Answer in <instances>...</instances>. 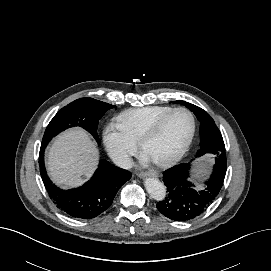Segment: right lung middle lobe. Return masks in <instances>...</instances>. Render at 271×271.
<instances>
[{
    "label": "right lung middle lobe",
    "instance_id": "1",
    "mask_svg": "<svg viewBox=\"0 0 271 271\" xmlns=\"http://www.w3.org/2000/svg\"><path fill=\"white\" fill-rule=\"evenodd\" d=\"M114 105L95 100L93 98H81L62 108L47 126L41 148L45 149L48 142L57 134L69 127L80 126L90 132L100 144L97 135L99 119Z\"/></svg>",
    "mask_w": 271,
    "mask_h": 271
}]
</instances>
